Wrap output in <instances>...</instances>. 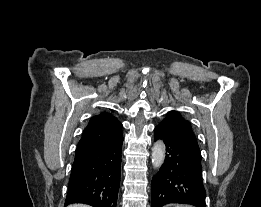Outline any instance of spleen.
Here are the masks:
<instances>
[{
	"mask_svg": "<svg viewBox=\"0 0 261 207\" xmlns=\"http://www.w3.org/2000/svg\"><path fill=\"white\" fill-rule=\"evenodd\" d=\"M176 207H190V206H183V205H178Z\"/></svg>",
	"mask_w": 261,
	"mask_h": 207,
	"instance_id": "spleen-1",
	"label": "spleen"
}]
</instances>
